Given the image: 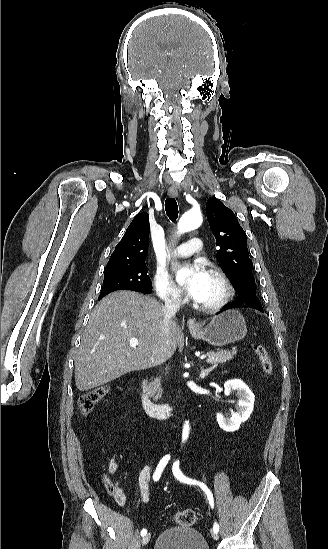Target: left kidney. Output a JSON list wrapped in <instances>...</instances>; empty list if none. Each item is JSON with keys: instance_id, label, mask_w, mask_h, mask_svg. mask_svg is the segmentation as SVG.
<instances>
[{"instance_id": "5707ae66", "label": "left kidney", "mask_w": 328, "mask_h": 549, "mask_svg": "<svg viewBox=\"0 0 328 549\" xmlns=\"http://www.w3.org/2000/svg\"><path fill=\"white\" fill-rule=\"evenodd\" d=\"M224 389L225 395H230L233 391H237L239 397V401H237L238 411L237 413H233L231 417H224L222 413H217V423L223 431H238L241 423L247 421L253 411L255 395L240 379L226 381Z\"/></svg>"}]
</instances>
